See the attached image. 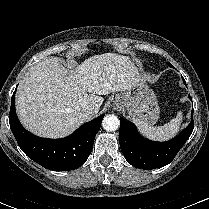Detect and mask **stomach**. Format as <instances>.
Listing matches in <instances>:
<instances>
[{"instance_id":"obj_1","label":"stomach","mask_w":209,"mask_h":209,"mask_svg":"<svg viewBox=\"0 0 209 209\" xmlns=\"http://www.w3.org/2000/svg\"><path fill=\"white\" fill-rule=\"evenodd\" d=\"M119 108L125 109L129 117L134 120L153 125L159 119V105L155 93L143 78L126 92L116 95Z\"/></svg>"}]
</instances>
